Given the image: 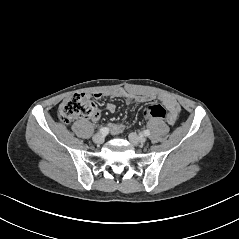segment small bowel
<instances>
[{"instance_id":"c3829d8e","label":"small bowel","mask_w":239,"mask_h":239,"mask_svg":"<svg viewBox=\"0 0 239 239\" xmlns=\"http://www.w3.org/2000/svg\"><path fill=\"white\" fill-rule=\"evenodd\" d=\"M103 97H110V98H118L119 97V98L125 99L127 103H131L133 101L143 103V102H146V101H149L152 99L151 96L134 95V94H131L124 90H114L111 92H97L94 94L95 99H101ZM158 99L164 104V106L167 109V117H166L167 122L170 125H173L176 122L177 117L180 113L179 104L177 103V101L175 99H173L172 97H169V96H160V97H158ZM104 109L109 112H114L116 110V106L114 103L110 102L104 106ZM91 118L94 121L99 120L100 112L97 110L91 116ZM109 127H110V131L112 134H120L124 130V125L121 123H113V124H110Z\"/></svg>"}]
</instances>
